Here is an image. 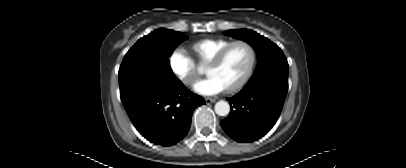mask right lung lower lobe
Instances as JSON below:
<instances>
[{"label":"right lung lower lobe","mask_w":406,"mask_h":168,"mask_svg":"<svg viewBox=\"0 0 406 168\" xmlns=\"http://www.w3.org/2000/svg\"><path fill=\"white\" fill-rule=\"evenodd\" d=\"M202 104L204 99L190 92L178 79L123 103L138 132L163 146L174 145L186 136L192 113Z\"/></svg>","instance_id":"98d812e1"}]
</instances>
